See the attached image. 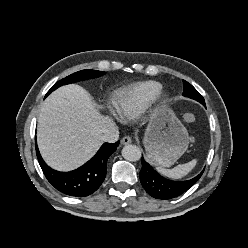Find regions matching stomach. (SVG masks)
Wrapping results in <instances>:
<instances>
[{
  "label": "stomach",
  "instance_id": "1",
  "mask_svg": "<svg viewBox=\"0 0 248 248\" xmlns=\"http://www.w3.org/2000/svg\"><path fill=\"white\" fill-rule=\"evenodd\" d=\"M143 142L152 164L170 167L186 152L189 135L174 112L162 105L151 114Z\"/></svg>",
  "mask_w": 248,
  "mask_h": 248
}]
</instances>
